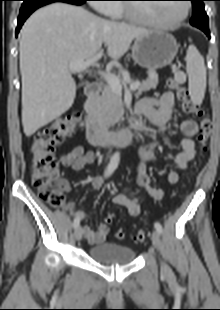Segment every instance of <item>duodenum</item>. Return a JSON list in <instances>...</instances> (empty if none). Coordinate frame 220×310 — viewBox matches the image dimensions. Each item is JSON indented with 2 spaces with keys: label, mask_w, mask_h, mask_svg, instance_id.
<instances>
[{
  "label": "duodenum",
  "mask_w": 220,
  "mask_h": 310,
  "mask_svg": "<svg viewBox=\"0 0 220 310\" xmlns=\"http://www.w3.org/2000/svg\"><path fill=\"white\" fill-rule=\"evenodd\" d=\"M100 91L101 85L98 82L90 83L85 89L87 106L83 128L88 142L92 145L104 144L110 148L129 145L134 137L133 131L130 128L119 131L110 130L101 126L94 116L92 112L93 103Z\"/></svg>",
  "instance_id": "duodenum-1"
}]
</instances>
